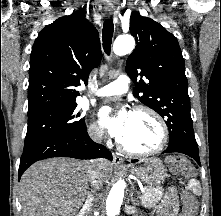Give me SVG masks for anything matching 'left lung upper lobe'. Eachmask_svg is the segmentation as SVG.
<instances>
[{
  "instance_id": "1",
  "label": "left lung upper lobe",
  "mask_w": 221,
  "mask_h": 216,
  "mask_svg": "<svg viewBox=\"0 0 221 216\" xmlns=\"http://www.w3.org/2000/svg\"><path fill=\"white\" fill-rule=\"evenodd\" d=\"M130 32L137 45L127 59L126 72L136 84L135 96L165 118L170 133L169 146L198 149L185 64L176 37L159 23L136 12L130 17ZM138 76L141 79L136 82Z\"/></svg>"
}]
</instances>
